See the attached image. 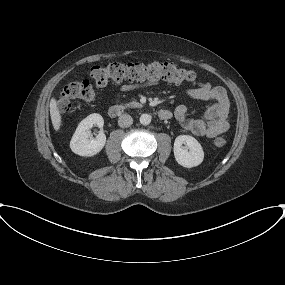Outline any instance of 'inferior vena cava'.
<instances>
[{
	"mask_svg": "<svg viewBox=\"0 0 285 285\" xmlns=\"http://www.w3.org/2000/svg\"><path fill=\"white\" fill-rule=\"evenodd\" d=\"M133 124V118L129 114H123L118 119V125L122 128L129 127Z\"/></svg>",
	"mask_w": 285,
	"mask_h": 285,
	"instance_id": "obj_1",
	"label": "inferior vena cava"
}]
</instances>
